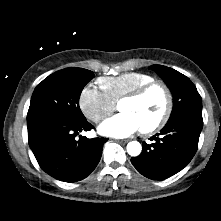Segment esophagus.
I'll return each instance as SVG.
<instances>
[{
    "mask_svg": "<svg viewBox=\"0 0 221 221\" xmlns=\"http://www.w3.org/2000/svg\"><path fill=\"white\" fill-rule=\"evenodd\" d=\"M115 141L118 143H123V144L128 142V140H126V139H115Z\"/></svg>",
    "mask_w": 221,
    "mask_h": 221,
    "instance_id": "1",
    "label": "esophagus"
}]
</instances>
